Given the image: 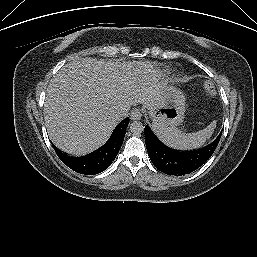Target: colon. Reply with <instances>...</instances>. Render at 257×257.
I'll return each mask as SVG.
<instances>
[{"label": "colon", "mask_w": 257, "mask_h": 257, "mask_svg": "<svg viewBox=\"0 0 257 257\" xmlns=\"http://www.w3.org/2000/svg\"><path fill=\"white\" fill-rule=\"evenodd\" d=\"M203 89H204V93L206 94V96L210 99L213 98L216 94L215 87H214L213 83L210 81L204 82Z\"/></svg>", "instance_id": "obj_1"}]
</instances>
